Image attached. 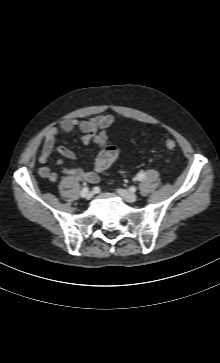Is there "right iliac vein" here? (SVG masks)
Wrapping results in <instances>:
<instances>
[{"label": "right iliac vein", "mask_w": 220, "mask_h": 363, "mask_svg": "<svg viewBox=\"0 0 220 363\" xmlns=\"http://www.w3.org/2000/svg\"><path fill=\"white\" fill-rule=\"evenodd\" d=\"M93 194L92 192H88L86 195H85V199L86 200H90L92 198Z\"/></svg>", "instance_id": "obj_1"}]
</instances>
